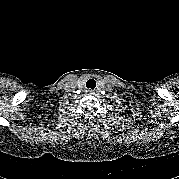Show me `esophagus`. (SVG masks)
<instances>
[{"instance_id":"34e87169","label":"esophagus","mask_w":179,"mask_h":179,"mask_svg":"<svg viewBox=\"0 0 179 179\" xmlns=\"http://www.w3.org/2000/svg\"><path fill=\"white\" fill-rule=\"evenodd\" d=\"M88 93L92 94V93H93V91H92V90H88Z\"/></svg>"}]
</instances>
